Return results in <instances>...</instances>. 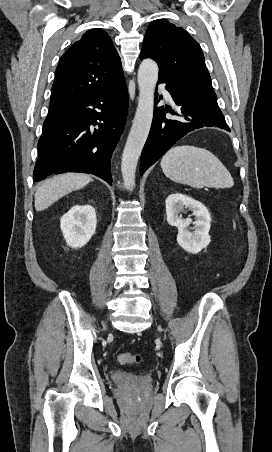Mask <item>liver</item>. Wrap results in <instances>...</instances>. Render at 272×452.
I'll use <instances>...</instances> for the list:
<instances>
[{"instance_id": "1", "label": "liver", "mask_w": 272, "mask_h": 452, "mask_svg": "<svg viewBox=\"0 0 272 452\" xmlns=\"http://www.w3.org/2000/svg\"><path fill=\"white\" fill-rule=\"evenodd\" d=\"M92 181L83 173H64L49 178L38 186L35 193V209L43 211L68 193L81 189Z\"/></svg>"}]
</instances>
